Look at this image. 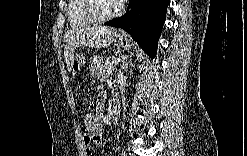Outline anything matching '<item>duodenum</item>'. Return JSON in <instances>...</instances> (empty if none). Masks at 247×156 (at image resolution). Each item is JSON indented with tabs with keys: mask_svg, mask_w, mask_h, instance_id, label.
<instances>
[{
	"mask_svg": "<svg viewBox=\"0 0 247 156\" xmlns=\"http://www.w3.org/2000/svg\"><path fill=\"white\" fill-rule=\"evenodd\" d=\"M103 97H105V95H102ZM120 117V109L118 107H114L111 111V119L113 121H117Z\"/></svg>",
	"mask_w": 247,
	"mask_h": 156,
	"instance_id": "410a0bca",
	"label": "duodenum"
}]
</instances>
